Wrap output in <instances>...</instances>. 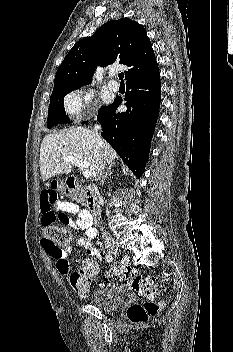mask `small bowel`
Instances as JSON below:
<instances>
[{"label": "small bowel", "mask_w": 233, "mask_h": 352, "mask_svg": "<svg viewBox=\"0 0 233 352\" xmlns=\"http://www.w3.org/2000/svg\"><path fill=\"white\" fill-rule=\"evenodd\" d=\"M59 184L56 181L47 183L40 193V211L42 215V223L46 221L59 220L64 225L70 226L77 231H83L85 238H80L76 243V248H84L88 256L100 260V254L93 244V239L96 237V230L93 228V220L89 212L85 209H80L73 202L60 201L57 191ZM44 251L47 255L56 260L57 270L66 276L67 282L70 284V276L74 272L73 266L68 261V253L70 248H59L48 242L46 239L41 241ZM86 298V295L79 296Z\"/></svg>", "instance_id": "c3829d8e"}]
</instances>
